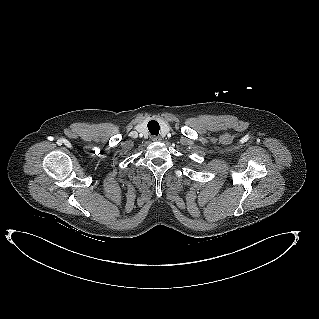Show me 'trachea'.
Here are the masks:
<instances>
[{
    "label": "trachea",
    "mask_w": 319,
    "mask_h": 319,
    "mask_svg": "<svg viewBox=\"0 0 319 319\" xmlns=\"http://www.w3.org/2000/svg\"><path fill=\"white\" fill-rule=\"evenodd\" d=\"M147 126H148V129L152 135L157 136L159 134L160 126H159V123L157 121L151 120V121H149Z\"/></svg>",
    "instance_id": "trachea-1"
}]
</instances>
